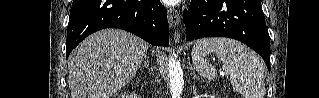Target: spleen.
Returning a JSON list of instances; mask_svg holds the SVG:
<instances>
[{"instance_id": "1", "label": "spleen", "mask_w": 319, "mask_h": 98, "mask_svg": "<svg viewBox=\"0 0 319 98\" xmlns=\"http://www.w3.org/2000/svg\"><path fill=\"white\" fill-rule=\"evenodd\" d=\"M211 53L223 62V70L230 75L233 88L244 98H264L266 72L257 54L229 38L199 40L192 50L193 65L208 80L216 78L215 68L206 59Z\"/></svg>"}]
</instances>
